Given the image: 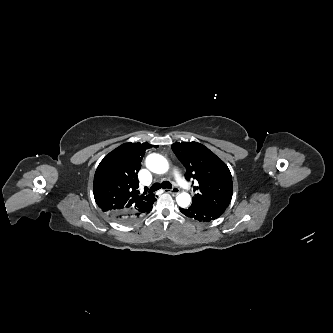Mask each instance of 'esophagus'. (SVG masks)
Segmentation results:
<instances>
[{
	"mask_svg": "<svg viewBox=\"0 0 333 333\" xmlns=\"http://www.w3.org/2000/svg\"><path fill=\"white\" fill-rule=\"evenodd\" d=\"M166 192L171 193V194H178L179 193V188L174 187L172 189H165Z\"/></svg>",
	"mask_w": 333,
	"mask_h": 333,
	"instance_id": "1",
	"label": "esophagus"
}]
</instances>
